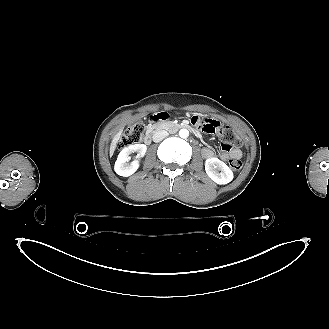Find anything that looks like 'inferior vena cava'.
<instances>
[{
    "label": "inferior vena cava",
    "mask_w": 329,
    "mask_h": 329,
    "mask_svg": "<svg viewBox=\"0 0 329 329\" xmlns=\"http://www.w3.org/2000/svg\"><path fill=\"white\" fill-rule=\"evenodd\" d=\"M168 135H169V133L167 131H165V130L156 131L153 134V141L156 142V143H158V142L162 141Z\"/></svg>",
    "instance_id": "1"
}]
</instances>
